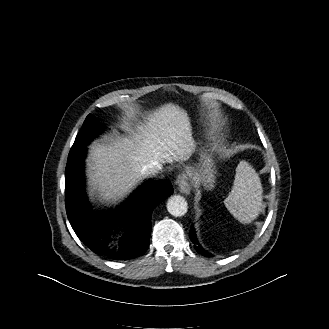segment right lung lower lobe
Segmentation results:
<instances>
[{"instance_id":"right-lung-lower-lobe-1","label":"right lung lower lobe","mask_w":329,"mask_h":329,"mask_svg":"<svg viewBox=\"0 0 329 329\" xmlns=\"http://www.w3.org/2000/svg\"><path fill=\"white\" fill-rule=\"evenodd\" d=\"M86 149L67 161L65 206L69 222L79 239L94 253L113 260H130L149 246L151 215L162 200L173 193L167 180H150L114 212L95 214L84 194L83 165ZM124 224L125 234L117 249L108 246L116 228Z\"/></svg>"}]
</instances>
